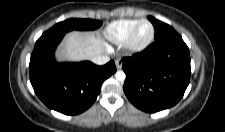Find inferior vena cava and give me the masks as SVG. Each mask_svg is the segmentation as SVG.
<instances>
[{
	"label": "inferior vena cava",
	"instance_id": "1",
	"mask_svg": "<svg viewBox=\"0 0 225 132\" xmlns=\"http://www.w3.org/2000/svg\"><path fill=\"white\" fill-rule=\"evenodd\" d=\"M110 58L107 55H98L92 59V62L97 65H104L108 63Z\"/></svg>",
	"mask_w": 225,
	"mask_h": 132
}]
</instances>
